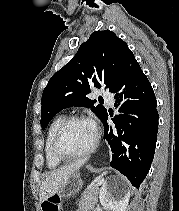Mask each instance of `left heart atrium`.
Instances as JSON below:
<instances>
[{"instance_id":"obj_1","label":"left heart atrium","mask_w":179,"mask_h":211,"mask_svg":"<svg viewBox=\"0 0 179 211\" xmlns=\"http://www.w3.org/2000/svg\"><path fill=\"white\" fill-rule=\"evenodd\" d=\"M91 124H92V126H93V128H94V130L96 131V125H95V123L94 122H90Z\"/></svg>"}]
</instances>
